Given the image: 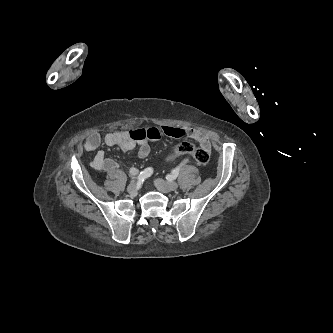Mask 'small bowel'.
<instances>
[{
    "label": "small bowel",
    "instance_id": "c3829d8e",
    "mask_svg": "<svg viewBox=\"0 0 333 333\" xmlns=\"http://www.w3.org/2000/svg\"><path fill=\"white\" fill-rule=\"evenodd\" d=\"M161 134L174 138L190 137L197 141L201 148L208 152L211 150L210 139L205 133L189 127L174 126L150 127L133 131H114L104 136V143L108 146H117L124 152L137 148L138 157L143 159L150 153L149 141L158 139ZM101 142V136L98 133H92L84 143V148L94 153L91 165L96 170L114 173L118 167L117 163L113 159L107 158L105 153L99 149Z\"/></svg>",
    "mask_w": 333,
    "mask_h": 333
}]
</instances>
